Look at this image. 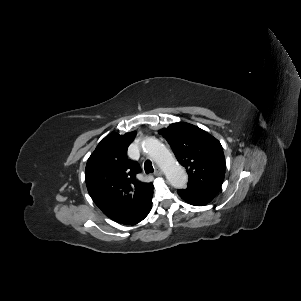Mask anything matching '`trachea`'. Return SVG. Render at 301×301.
Wrapping results in <instances>:
<instances>
[{
    "instance_id": "3493384b",
    "label": "trachea",
    "mask_w": 301,
    "mask_h": 301,
    "mask_svg": "<svg viewBox=\"0 0 301 301\" xmlns=\"http://www.w3.org/2000/svg\"><path fill=\"white\" fill-rule=\"evenodd\" d=\"M144 169L147 174L152 173L154 171V168L150 161H146L144 163Z\"/></svg>"
}]
</instances>
